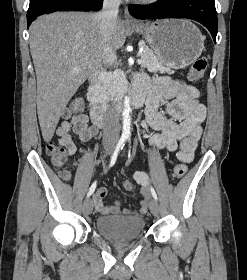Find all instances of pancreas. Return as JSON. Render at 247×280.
<instances>
[{
  "label": "pancreas",
  "mask_w": 247,
  "mask_h": 280,
  "mask_svg": "<svg viewBox=\"0 0 247 280\" xmlns=\"http://www.w3.org/2000/svg\"><path fill=\"white\" fill-rule=\"evenodd\" d=\"M140 47L143 51L140 54V58L143 60L142 67L147 68L150 72H160L173 74L174 71L165 67L153 51L144 43L140 42ZM123 81V73L120 70L106 73L102 80L97 84V97L101 102H104L110 97L117 96L121 90Z\"/></svg>",
  "instance_id": "1"
}]
</instances>
